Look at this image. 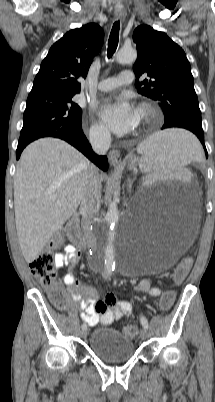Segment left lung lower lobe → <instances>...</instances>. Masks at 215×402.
I'll list each match as a JSON object with an SVG mask.
<instances>
[{
	"mask_svg": "<svg viewBox=\"0 0 215 402\" xmlns=\"http://www.w3.org/2000/svg\"><path fill=\"white\" fill-rule=\"evenodd\" d=\"M171 127L184 128V129L190 130L191 132L196 134V136L199 138V140L201 141V143L203 145V148L206 153V157H208L207 150H206V147L204 144V132L202 129V125H197V124L190 123V122H187L184 120H170V121L165 122L161 129L171 128Z\"/></svg>",
	"mask_w": 215,
	"mask_h": 402,
	"instance_id": "obj_1",
	"label": "left lung lower lobe"
}]
</instances>
